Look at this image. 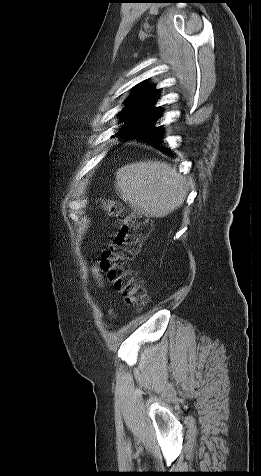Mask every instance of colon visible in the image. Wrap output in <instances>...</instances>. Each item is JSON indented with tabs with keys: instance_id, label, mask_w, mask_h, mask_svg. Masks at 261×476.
<instances>
[{
	"instance_id": "1",
	"label": "colon",
	"mask_w": 261,
	"mask_h": 476,
	"mask_svg": "<svg viewBox=\"0 0 261 476\" xmlns=\"http://www.w3.org/2000/svg\"><path fill=\"white\" fill-rule=\"evenodd\" d=\"M100 206L118 227L108 247L101 253L100 268L107 273L109 281L123 295L125 302L141 309L147 303V292L137 282L135 272L125 265L139 253L143 239L149 235V219L127 210L114 199L101 200Z\"/></svg>"
}]
</instances>
